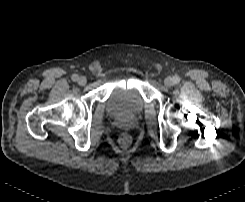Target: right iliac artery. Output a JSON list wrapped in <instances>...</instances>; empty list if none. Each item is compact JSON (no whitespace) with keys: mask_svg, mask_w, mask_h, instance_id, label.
<instances>
[{"mask_svg":"<svg viewBox=\"0 0 245 202\" xmlns=\"http://www.w3.org/2000/svg\"><path fill=\"white\" fill-rule=\"evenodd\" d=\"M71 78L73 81H77L79 76L77 74H73Z\"/></svg>","mask_w":245,"mask_h":202,"instance_id":"right-iliac-artery-1","label":"right iliac artery"}]
</instances>
